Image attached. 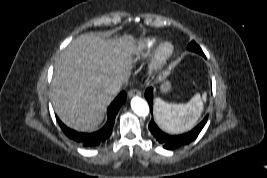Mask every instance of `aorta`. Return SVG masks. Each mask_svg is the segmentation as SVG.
<instances>
[{"label": "aorta", "mask_w": 267, "mask_h": 178, "mask_svg": "<svg viewBox=\"0 0 267 178\" xmlns=\"http://www.w3.org/2000/svg\"><path fill=\"white\" fill-rule=\"evenodd\" d=\"M131 108L138 116H147L150 111L147 102L138 96L132 98Z\"/></svg>", "instance_id": "obj_1"}]
</instances>
